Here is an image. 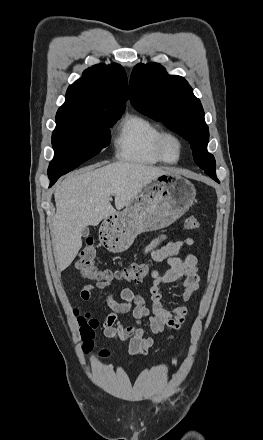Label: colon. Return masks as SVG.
I'll return each mask as SVG.
<instances>
[{
	"label": "colon",
	"instance_id": "1",
	"mask_svg": "<svg viewBox=\"0 0 263 440\" xmlns=\"http://www.w3.org/2000/svg\"><path fill=\"white\" fill-rule=\"evenodd\" d=\"M184 227L186 230H195L200 227V223L196 217L187 216L184 220ZM76 268L81 276L87 280L104 282L122 281L129 284L143 281L150 272V266L144 262L132 263L115 271L101 269L97 265V249L93 239L86 240L76 262ZM78 322L80 325L82 349L84 352H87L93 346L97 322L88 315L79 316ZM102 354L106 355L107 351L103 350Z\"/></svg>",
	"mask_w": 263,
	"mask_h": 440
}]
</instances>
